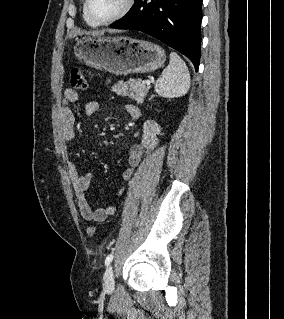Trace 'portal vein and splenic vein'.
I'll list each match as a JSON object with an SVG mask.
<instances>
[{
    "mask_svg": "<svg viewBox=\"0 0 284 319\" xmlns=\"http://www.w3.org/2000/svg\"><path fill=\"white\" fill-rule=\"evenodd\" d=\"M144 83H145L146 85H150L151 81H150V80H146V81H144Z\"/></svg>",
    "mask_w": 284,
    "mask_h": 319,
    "instance_id": "18ae733b",
    "label": "portal vein and splenic vein"
}]
</instances>
